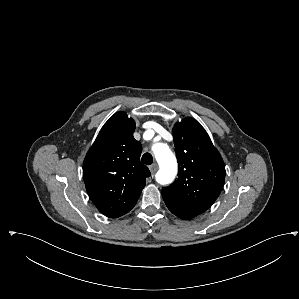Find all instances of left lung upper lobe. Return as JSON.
Listing matches in <instances>:
<instances>
[{"label": "left lung upper lobe", "mask_w": 299, "mask_h": 299, "mask_svg": "<svg viewBox=\"0 0 299 299\" xmlns=\"http://www.w3.org/2000/svg\"><path fill=\"white\" fill-rule=\"evenodd\" d=\"M173 135L179 163L178 179L162 189V196L201 214L214 203L223 188L224 162L195 119L186 118L176 123Z\"/></svg>", "instance_id": "obj_1"}]
</instances>
